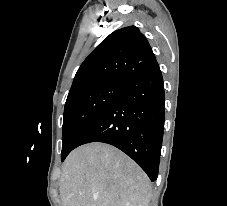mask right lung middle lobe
Segmentation results:
<instances>
[{
    "instance_id": "obj_1",
    "label": "right lung middle lobe",
    "mask_w": 227,
    "mask_h": 206,
    "mask_svg": "<svg viewBox=\"0 0 227 206\" xmlns=\"http://www.w3.org/2000/svg\"><path fill=\"white\" fill-rule=\"evenodd\" d=\"M122 80H105L68 95L63 121L61 161L76 147L82 134L125 89Z\"/></svg>"
}]
</instances>
